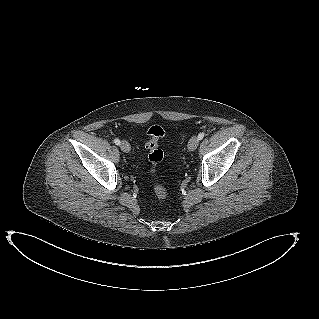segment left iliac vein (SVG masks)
<instances>
[{"label": "left iliac vein", "instance_id": "obj_1", "mask_svg": "<svg viewBox=\"0 0 319 319\" xmlns=\"http://www.w3.org/2000/svg\"><path fill=\"white\" fill-rule=\"evenodd\" d=\"M198 144H199L198 137L197 136H193L188 142V149L190 151H194L198 147Z\"/></svg>", "mask_w": 319, "mask_h": 319}]
</instances>
